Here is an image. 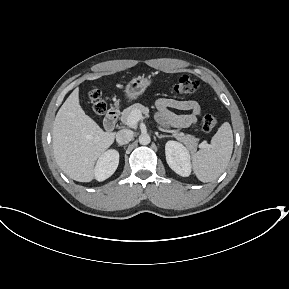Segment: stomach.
<instances>
[{
    "label": "stomach",
    "instance_id": "stomach-1",
    "mask_svg": "<svg viewBox=\"0 0 289 289\" xmlns=\"http://www.w3.org/2000/svg\"><path fill=\"white\" fill-rule=\"evenodd\" d=\"M152 83L150 77H135L132 78L125 87V95L129 100H135L142 95L148 86Z\"/></svg>",
    "mask_w": 289,
    "mask_h": 289
}]
</instances>
